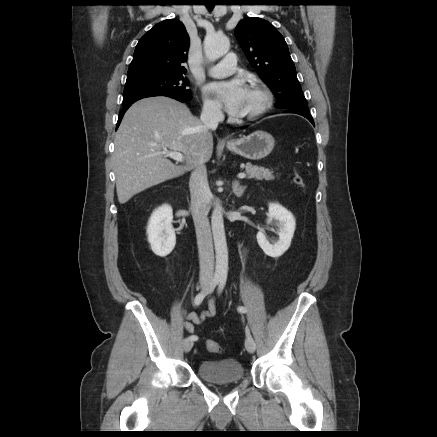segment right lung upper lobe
Instances as JSON below:
<instances>
[{"label": "right lung upper lobe", "instance_id": "obj_1", "mask_svg": "<svg viewBox=\"0 0 437 437\" xmlns=\"http://www.w3.org/2000/svg\"><path fill=\"white\" fill-rule=\"evenodd\" d=\"M189 35L182 22L168 19L156 24L139 40L128 72L159 71L186 74L184 63Z\"/></svg>", "mask_w": 437, "mask_h": 437}]
</instances>
